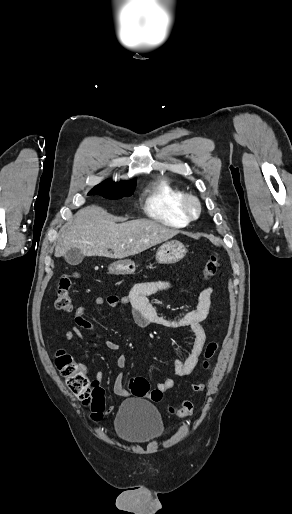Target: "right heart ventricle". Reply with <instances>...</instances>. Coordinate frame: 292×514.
<instances>
[{"mask_svg":"<svg viewBox=\"0 0 292 514\" xmlns=\"http://www.w3.org/2000/svg\"><path fill=\"white\" fill-rule=\"evenodd\" d=\"M185 192L166 178H157L141 192L143 210L150 218L170 227H185L188 219L179 211L178 201Z\"/></svg>","mask_w":292,"mask_h":514,"instance_id":"obj_1","label":"right heart ventricle"}]
</instances>
